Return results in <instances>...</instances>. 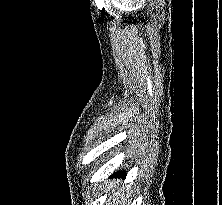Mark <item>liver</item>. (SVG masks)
Wrapping results in <instances>:
<instances>
[{
    "label": "liver",
    "mask_w": 222,
    "mask_h": 205,
    "mask_svg": "<svg viewBox=\"0 0 222 205\" xmlns=\"http://www.w3.org/2000/svg\"><path fill=\"white\" fill-rule=\"evenodd\" d=\"M120 180H114L106 189V193L108 194L111 191V195L106 201V205H129L128 195L126 192L129 190V185H120Z\"/></svg>",
    "instance_id": "obj_1"
}]
</instances>
